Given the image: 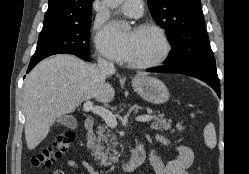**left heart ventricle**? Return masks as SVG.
Wrapping results in <instances>:
<instances>
[{"mask_svg": "<svg viewBox=\"0 0 249 174\" xmlns=\"http://www.w3.org/2000/svg\"><path fill=\"white\" fill-rule=\"evenodd\" d=\"M132 46L128 60L130 62H145L157 58L163 51L160 37L153 31H132Z\"/></svg>", "mask_w": 249, "mask_h": 174, "instance_id": "left-heart-ventricle-1", "label": "left heart ventricle"}]
</instances>
